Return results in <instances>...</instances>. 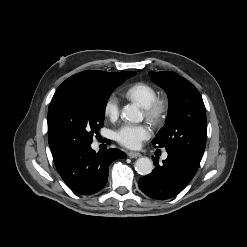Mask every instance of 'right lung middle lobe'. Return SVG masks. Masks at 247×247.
Here are the masks:
<instances>
[{
    "label": "right lung middle lobe",
    "instance_id": "1",
    "mask_svg": "<svg viewBox=\"0 0 247 247\" xmlns=\"http://www.w3.org/2000/svg\"><path fill=\"white\" fill-rule=\"evenodd\" d=\"M135 72L105 85L63 82L56 90L48 110L49 143L67 152L91 145L93 135L103 126L105 107L110 94Z\"/></svg>",
    "mask_w": 247,
    "mask_h": 247
}]
</instances>
